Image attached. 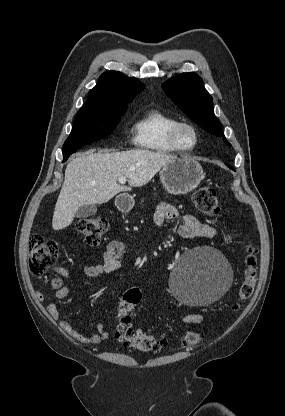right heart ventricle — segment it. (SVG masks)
<instances>
[{
	"label": "right heart ventricle",
	"instance_id": "e07e8e85",
	"mask_svg": "<svg viewBox=\"0 0 285 416\" xmlns=\"http://www.w3.org/2000/svg\"><path fill=\"white\" fill-rule=\"evenodd\" d=\"M177 122L175 116L160 108L148 109L135 124L136 145L153 153L177 152L170 141V131Z\"/></svg>",
	"mask_w": 285,
	"mask_h": 416
}]
</instances>
